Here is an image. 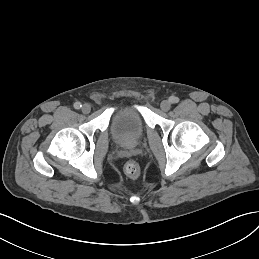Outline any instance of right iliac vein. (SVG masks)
Returning <instances> with one entry per match:
<instances>
[{"mask_svg": "<svg viewBox=\"0 0 259 259\" xmlns=\"http://www.w3.org/2000/svg\"><path fill=\"white\" fill-rule=\"evenodd\" d=\"M81 110L84 114H88L91 111V106L89 104H84Z\"/></svg>", "mask_w": 259, "mask_h": 259, "instance_id": "1", "label": "right iliac vein"}]
</instances>
